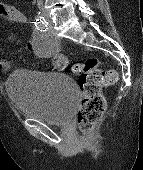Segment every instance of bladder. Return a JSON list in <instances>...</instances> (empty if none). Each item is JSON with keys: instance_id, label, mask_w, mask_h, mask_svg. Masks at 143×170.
<instances>
[{"instance_id": "obj_1", "label": "bladder", "mask_w": 143, "mask_h": 170, "mask_svg": "<svg viewBox=\"0 0 143 170\" xmlns=\"http://www.w3.org/2000/svg\"><path fill=\"white\" fill-rule=\"evenodd\" d=\"M5 90L20 114L51 125L71 120L79 96L70 76L26 69L13 71Z\"/></svg>"}]
</instances>
